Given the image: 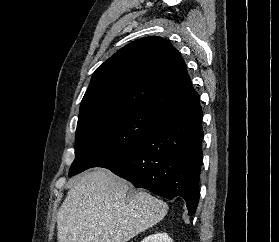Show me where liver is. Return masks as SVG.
Listing matches in <instances>:
<instances>
[{
  "label": "liver",
  "mask_w": 279,
  "mask_h": 242,
  "mask_svg": "<svg viewBox=\"0 0 279 242\" xmlns=\"http://www.w3.org/2000/svg\"><path fill=\"white\" fill-rule=\"evenodd\" d=\"M106 169L75 177L57 214L58 242H127L157 224L168 205Z\"/></svg>",
  "instance_id": "obj_1"
}]
</instances>
